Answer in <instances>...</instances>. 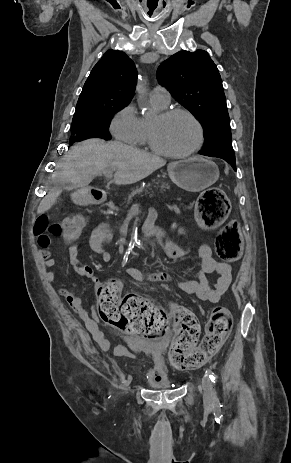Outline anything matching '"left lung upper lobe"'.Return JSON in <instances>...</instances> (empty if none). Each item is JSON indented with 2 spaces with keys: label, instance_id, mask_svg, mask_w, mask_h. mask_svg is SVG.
<instances>
[{
  "label": "left lung upper lobe",
  "instance_id": "1",
  "mask_svg": "<svg viewBox=\"0 0 291 463\" xmlns=\"http://www.w3.org/2000/svg\"><path fill=\"white\" fill-rule=\"evenodd\" d=\"M157 79L203 126L200 154L235 158L222 80L209 54L179 51L159 66Z\"/></svg>",
  "mask_w": 291,
  "mask_h": 463
}]
</instances>
